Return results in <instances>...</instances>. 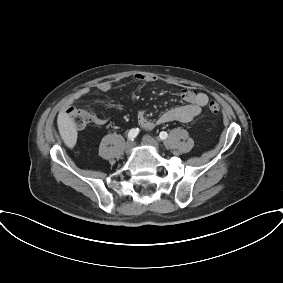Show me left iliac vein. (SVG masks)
<instances>
[{"label": "left iliac vein", "mask_w": 283, "mask_h": 283, "mask_svg": "<svg viewBox=\"0 0 283 283\" xmlns=\"http://www.w3.org/2000/svg\"><path fill=\"white\" fill-rule=\"evenodd\" d=\"M143 143L146 144V145H150V146L154 147L156 150H159L158 142L149 135H145L143 137Z\"/></svg>", "instance_id": "obj_1"}]
</instances>
